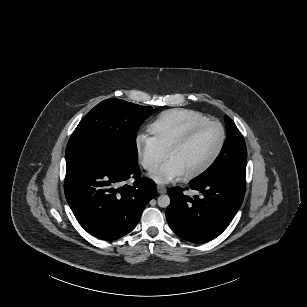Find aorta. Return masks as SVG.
Here are the masks:
<instances>
[{"label": "aorta", "mask_w": 307, "mask_h": 307, "mask_svg": "<svg viewBox=\"0 0 307 307\" xmlns=\"http://www.w3.org/2000/svg\"><path fill=\"white\" fill-rule=\"evenodd\" d=\"M170 204V198L168 195H161L158 197V205L162 208L168 207Z\"/></svg>", "instance_id": "aorta-1"}]
</instances>
